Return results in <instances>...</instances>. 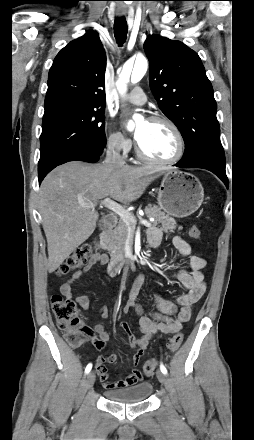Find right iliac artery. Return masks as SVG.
Listing matches in <instances>:
<instances>
[{
    "label": "right iliac artery",
    "mask_w": 254,
    "mask_h": 440,
    "mask_svg": "<svg viewBox=\"0 0 254 440\" xmlns=\"http://www.w3.org/2000/svg\"><path fill=\"white\" fill-rule=\"evenodd\" d=\"M91 369H92V364L89 363V364L86 366L85 373L88 374V373L90 372Z\"/></svg>",
    "instance_id": "obj_1"
}]
</instances>
